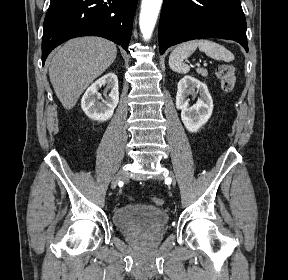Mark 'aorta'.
<instances>
[{"label": "aorta", "mask_w": 288, "mask_h": 280, "mask_svg": "<svg viewBox=\"0 0 288 280\" xmlns=\"http://www.w3.org/2000/svg\"><path fill=\"white\" fill-rule=\"evenodd\" d=\"M162 1L163 0H142L139 25L144 40L151 38Z\"/></svg>", "instance_id": "obj_1"}]
</instances>
